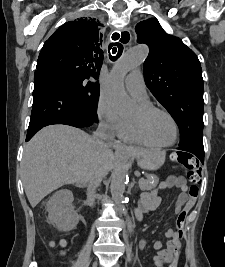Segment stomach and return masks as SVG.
Instances as JSON below:
<instances>
[{"label": "stomach", "mask_w": 225, "mask_h": 267, "mask_svg": "<svg viewBox=\"0 0 225 267\" xmlns=\"http://www.w3.org/2000/svg\"><path fill=\"white\" fill-rule=\"evenodd\" d=\"M144 165L146 168L154 170L159 168L165 161L164 153H149L143 158Z\"/></svg>", "instance_id": "stomach-1"}]
</instances>
